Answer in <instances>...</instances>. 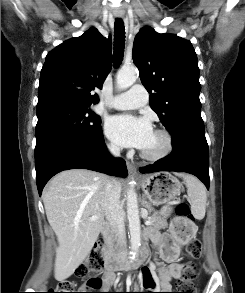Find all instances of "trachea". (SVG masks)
<instances>
[{
    "instance_id": "3493384b",
    "label": "trachea",
    "mask_w": 245,
    "mask_h": 293,
    "mask_svg": "<svg viewBox=\"0 0 245 293\" xmlns=\"http://www.w3.org/2000/svg\"><path fill=\"white\" fill-rule=\"evenodd\" d=\"M125 48V27L122 19L117 18L114 24V63L119 66L123 60Z\"/></svg>"
}]
</instances>
